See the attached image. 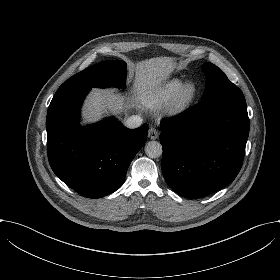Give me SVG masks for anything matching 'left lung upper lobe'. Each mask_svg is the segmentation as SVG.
<instances>
[{"mask_svg":"<svg viewBox=\"0 0 280 280\" xmlns=\"http://www.w3.org/2000/svg\"><path fill=\"white\" fill-rule=\"evenodd\" d=\"M202 71L206 76V88L202 100L237 88L217 66L210 62L202 65Z\"/></svg>","mask_w":280,"mask_h":280,"instance_id":"5c2ea615","label":"left lung upper lobe"}]
</instances>
